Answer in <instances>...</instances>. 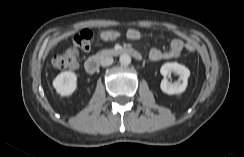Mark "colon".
Instances as JSON below:
<instances>
[{
    "mask_svg": "<svg viewBox=\"0 0 244 157\" xmlns=\"http://www.w3.org/2000/svg\"><path fill=\"white\" fill-rule=\"evenodd\" d=\"M121 37V32L117 30H105L100 33L103 41H114ZM93 33L90 30H82L74 36L73 44L66 51L53 57L52 64L56 69L62 71H72L79 66V49L87 50L91 46ZM188 52L194 51L191 43L186 44Z\"/></svg>",
    "mask_w": 244,
    "mask_h": 157,
    "instance_id": "1",
    "label": "colon"
}]
</instances>
